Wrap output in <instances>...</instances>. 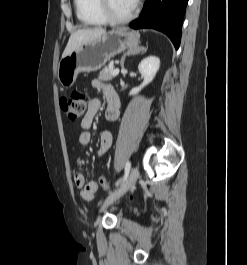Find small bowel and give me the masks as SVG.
<instances>
[{
	"label": "small bowel",
	"instance_id": "1",
	"mask_svg": "<svg viewBox=\"0 0 247 265\" xmlns=\"http://www.w3.org/2000/svg\"><path fill=\"white\" fill-rule=\"evenodd\" d=\"M93 86L101 90L107 100V108L105 111V117L108 121H116L119 117V98L109 84L104 83L99 79H95L92 82ZM100 101L98 99H92L89 102L88 109L81 121V127L83 131L79 135V143L83 146L88 145L91 141V134L89 132L90 127L93 124L94 118L100 109ZM113 142L112 134L108 131H104L100 135V143L98 148V155H104L111 147ZM75 185L81 189L80 195L84 200H92L96 193L100 189V185L97 181L91 180L88 183L85 181V177L82 173H76L74 175Z\"/></svg>",
	"mask_w": 247,
	"mask_h": 265
}]
</instances>
